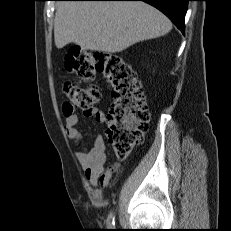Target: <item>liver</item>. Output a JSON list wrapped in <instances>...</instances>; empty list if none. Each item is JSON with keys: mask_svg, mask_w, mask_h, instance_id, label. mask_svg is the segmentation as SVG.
Masks as SVG:
<instances>
[{"mask_svg": "<svg viewBox=\"0 0 231 231\" xmlns=\"http://www.w3.org/2000/svg\"><path fill=\"white\" fill-rule=\"evenodd\" d=\"M171 29V21L144 2L60 1L54 40L58 49L73 42L85 50L116 53Z\"/></svg>", "mask_w": 231, "mask_h": 231, "instance_id": "6515ba94", "label": "liver"}]
</instances>
